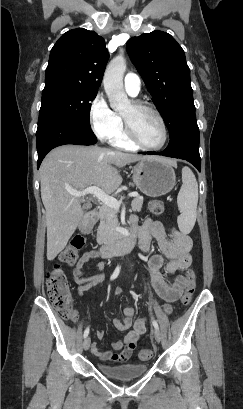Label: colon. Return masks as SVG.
Returning a JSON list of instances; mask_svg holds the SVG:
<instances>
[{"label": "colon", "instance_id": "obj_1", "mask_svg": "<svg viewBox=\"0 0 243 409\" xmlns=\"http://www.w3.org/2000/svg\"><path fill=\"white\" fill-rule=\"evenodd\" d=\"M149 209L153 214H161L164 204L161 200H151ZM86 240L83 236L77 235L72 238L70 244L61 252L60 260L68 265H73L78 256V252L85 246ZM185 291L181 298V303L187 306L192 301L195 290L196 274L193 269H188L185 274ZM47 293L51 303L58 314L65 320H75L77 312L74 309L72 295L69 290L67 277L59 265H54L48 269L46 274ZM140 360L146 361L151 358V351L142 349L138 353Z\"/></svg>", "mask_w": 243, "mask_h": 409}]
</instances>
